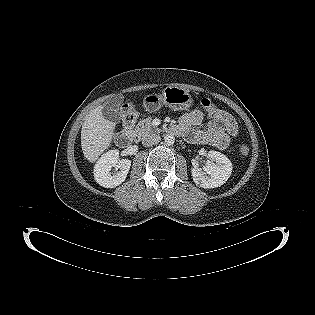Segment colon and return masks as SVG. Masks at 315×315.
<instances>
[{
    "label": "colon",
    "mask_w": 315,
    "mask_h": 315,
    "mask_svg": "<svg viewBox=\"0 0 315 315\" xmlns=\"http://www.w3.org/2000/svg\"><path fill=\"white\" fill-rule=\"evenodd\" d=\"M200 106L206 111V112H213L216 109V112H221V107H216L208 98H202L200 100ZM224 118L229 119L230 123V129H235V118H231L230 113H224ZM238 151L242 156H246L249 153V148L241 144L238 147Z\"/></svg>",
    "instance_id": "5ec220e1"
}]
</instances>
